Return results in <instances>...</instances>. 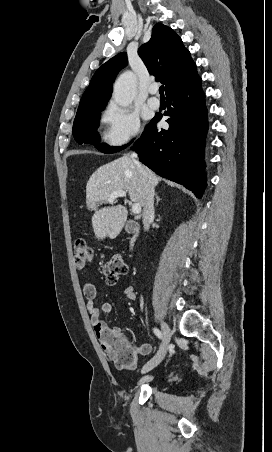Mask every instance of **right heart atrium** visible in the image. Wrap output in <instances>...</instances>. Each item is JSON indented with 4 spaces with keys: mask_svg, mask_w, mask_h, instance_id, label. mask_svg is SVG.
<instances>
[{
    "mask_svg": "<svg viewBox=\"0 0 272 452\" xmlns=\"http://www.w3.org/2000/svg\"><path fill=\"white\" fill-rule=\"evenodd\" d=\"M101 121L104 126L102 138L110 147L122 146L141 133L139 116L114 102L105 107Z\"/></svg>",
    "mask_w": 272,
    "mask_h": 452,
    "instance_id": "d8ad5b80",
    "label": "right heart atrium"
}]
</instances>
